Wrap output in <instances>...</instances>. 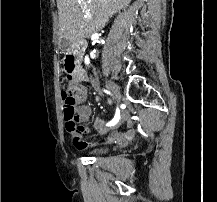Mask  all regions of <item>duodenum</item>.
Masks as SVG:
<instances>
[{"label": "duodenum", "mask_w": 217, "mask_h": 202, "mask_svg": "<svg viewBox=\"0 0 217 202\" xmlns=\"http://www.w3.org/2000/svg\"><path fill=\"white\" fill-rule=\"evenodd\" d=\"M83 50V44L78 43L71 51L66 54L64 59V65L67 72L74 75L75 78L79 81L86 80V77L80 65Z\"/></svg>", "instance_id": "410a0bca"}]
</instances>
